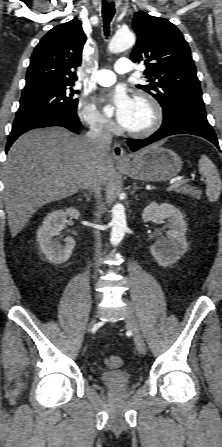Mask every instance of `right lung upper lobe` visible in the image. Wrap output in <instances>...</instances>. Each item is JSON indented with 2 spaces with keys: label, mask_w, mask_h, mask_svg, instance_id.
<instances>
[{
  "label": "right lung upper lobe",
  "mask_w": 222,
  "mask_h": 447,
  "mask_svg": "<svg viewBox=\"0 0 222 447\" xmlns=\"http://www.w3.org/2000/svg\"><path fill=\"white\" fill-rule=\"evenodd\" d=\"M86 39L77 19L51 29L34 49L24 89L74 84L77 76L73 70L81 63Z\"/></svg>",
  "instance_id": "1"
}]
</instances>
